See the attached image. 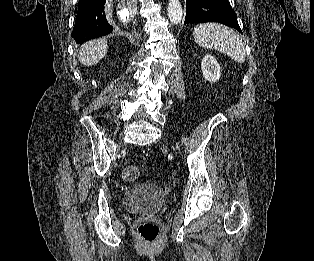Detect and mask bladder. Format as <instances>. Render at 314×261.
I'll use <instances>...</instances> for the list:
<instances>
[{
    "instance_id": "31cf9c89",
    "label": "bladder",
    "mask_w": 314,
    "mask_h": 261,
    "mask_svg": "<svg viewBox=\"0 0 314 261\" xmlns=\"http://www.w3.org/2000/svg\"><path fill=\"white\" fill-rule=\"evenodd\" d=\"M123 203L133 213L159 214L165 208L167 200L158 185L137 183L127 189Z\"/></svg>"
}]
</instances>
